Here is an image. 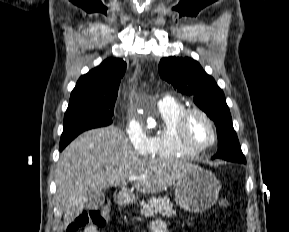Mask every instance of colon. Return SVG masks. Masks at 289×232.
Here are the masks:
<instances>
[{
    "label": "colon",
    "mask_w": 289,
    "mask_h": 232,
    "mask_svg": "<svg viewBox=\"0 0 289 232\" xmlns=\"http://www.w3.org/2000/svg\"><path fill=\"white\" fill-rule=\"evenodd\" d=\"M219 205L223 209L229 207V201L226 197L219 200ZM109 218V208L107 206L100 209H92L80 213L67 227V232H79L82 228L88 226L103 227Z\"/></svg>",
    "instance_id": "colon-1"
}]
</instances>
